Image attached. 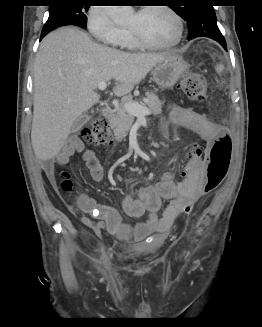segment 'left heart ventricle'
Segmentation results:
<instances>
[{"instance_id": "obj_1", "label": "left heart ventricle", "mask_w": 262, "mask_h": 327, "mask_svg": "<svg viewBox=\"0 0 262 327\" xmlns=\"http://www.w3.org/2000/svg\"><path fill=\"white\" fill-rule=\"evenodd\" d=\"M128 28L135 29L145 39L154 43H167L177 33L174 19L160 9L133 12L128 20Z\"/></svg>"}]
</instances>
